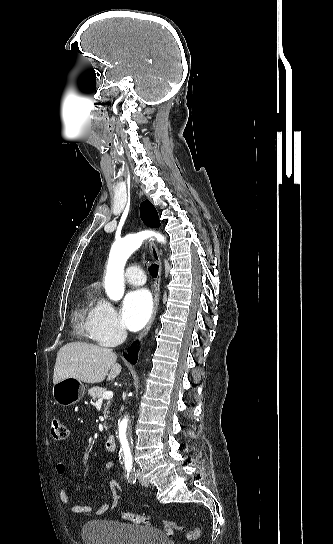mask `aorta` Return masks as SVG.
I'll return each mask as SVG.
<instances>
[{"label": "aorta", "mask_w": 333, "mask_h": 544, "mask_svg": "<svg viewBox=\"0 0 333 544\" xmlns=\"http://www.w3.org/2000/svg\"><path fill=\"white\" fill-rule=\"evenodd\" d=\"M154 235L158 241L164 242V237L153 232H140L128 235L115 242L111 248L105 275V291L113 301H119L124 294V267L128 258L141 246L142 241ZM119 440L122 451L131 459L133 449L132 431L128 418L124 417L119 424Z\"/></svg>", "instance_id": "1"}]
</instances>
